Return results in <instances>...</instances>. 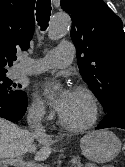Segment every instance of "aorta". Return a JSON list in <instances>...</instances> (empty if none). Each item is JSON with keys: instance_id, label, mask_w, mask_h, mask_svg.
Listing matches in <instances>:
<instances>
[{"instance_id": "1", "label": "aorta", "mask_w": 125, "mask_h": 167, "mask_svg": "<svg viewBox=\"0 0 125 167\" xmlns=\"http://www.w3.org/2000/svg\"><path fill=\"white\" fill-rule=\"evenodd\" d=\"M70 24L71 20L67 14L59 13L54 15L48 29V37L51 40L60 39L68 32Z\"/></svg>"}]
</instances>
